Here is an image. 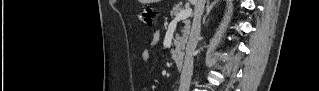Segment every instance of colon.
<instances>
[{
	"label": "colon",
	"instance_id": "obj_1",
	"mask_svg": "<svg viewBox=\"0 0 319 91\" xmlns=\"http://www.w3.org/2000/svg\"><path fill=\"white\" fill-rule=\"evenodd\" d=\"M140 20L141 22L147 26V27H152L154 24V19H153V8L152 7H145L140 15Z\"/></svg>",
	"mask_w": 319,
	"mask_h": 91
}]
</instances>
